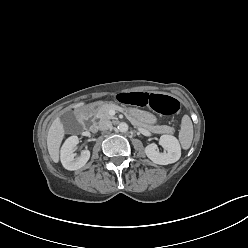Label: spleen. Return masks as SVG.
I'll list each match as a JSON object with an SVG mask.
<instances>
[{
    "mask_svg": "<svg viewBox=\"0 0 248 248\" xmlns=\"http://www.w3.org/2000/svg\"><path fill=\"white\" fill-rule=\"evenodd\" d=\"M193 140V124L188 115H184L181 121V129L179 132V141L183 149L190 148Z\"/></svg>",
    "mask_w": 248,
    "mask_h": 248,
    "instance_id": "3e777b00",
    "label": "spleen"
}]
</instances>
